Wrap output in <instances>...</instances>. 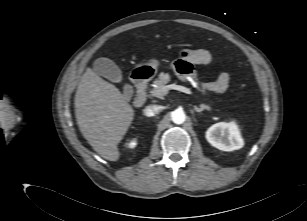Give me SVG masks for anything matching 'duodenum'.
Returning a JSON list of instances; mask_svg holds the SVG:
<instances>
[{
	"instance_id": "duodenum-1",
	"label": "duodenum",
	"mask_w": 307,
	"mask_h": 221,
	"mask_svg": "<svg viewBox=\"0 0 307 221\" xmlns=\"http://www.w3.org/2000/svg\"><path fill=\"white\" fill-rule=\"evenodd\" d=\"M151 67L137 69L132 74V81L136 87V93L133 104L136 108H141L146 102L147 83L151 77Z\"/></svg>"
}]
</instances>
